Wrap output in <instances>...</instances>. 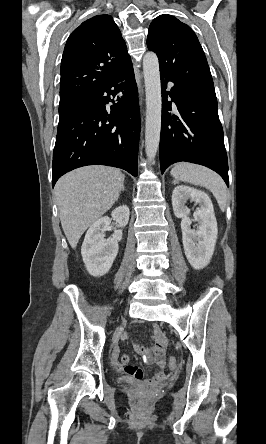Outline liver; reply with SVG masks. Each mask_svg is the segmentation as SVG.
Instances as JSON below:
<instances>
[{
  "mask_svg": "<svg viewBox=\"0 0 266 444\" xmlns=\"http://www.w3.org/2000/svg\"><path fill=\"white\" fill-rule=\"evenodd\" d=\"M124 174L107 166H86L62 176L55 196L63 231L74 249L86 231L118 200Z\"/></svg>",
  "mask_w": 266,
  "mask_h": 444,
  "instance_id": "6515ba94",
  "label": "liver"
}]
</instances>
